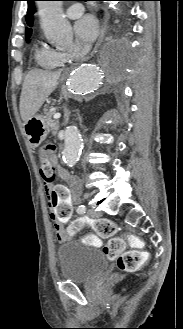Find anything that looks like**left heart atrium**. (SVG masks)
Here are the masks:
<instances>
[{"label":"left heart atrium","instance_id":"1","mask_svg":"<svg viewBox=\"0 0 183 329\" xmlns=\"http://www.w3.org/2000/svg\"><path fill=\"white\" fill-rule=\"evenodd\" d=\"M75 33L78 39L84 43L92 42L98 34V24L91 15L81 17L75 24Z\"/></svg>","mask_w":183,"mask_h":329}]
</instances>
